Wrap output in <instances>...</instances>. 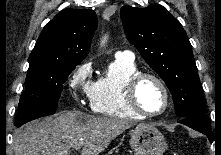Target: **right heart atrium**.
Here are the masks:
<instances>
[{
    "label": "right heart atrium",
    "instance_id": "right-heart-atrium-1",
    "mask_svg": "<svg viewBox=\"0 0 221 155\" xmlns=\"http://www.w3.org/2000/svg\"><path fill=\"white\" fill-rule=\"evenodd\" d=\"M92 64L84 62L77 66L68 79V86L73 96L80 100L82 97L90 100L92 82L90 80Z\"/></svg>",
    "mask_w": 221,
    "mask_h": 155
}]
</instances>
